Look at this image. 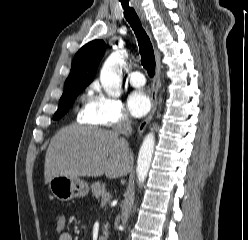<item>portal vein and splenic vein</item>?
<instances>
[{
  "label": "portal vein and splenic vein",
  "instance_id": "portal-vein-and-splenic-vein-1",
  "mask_svg": "<svg viewBox=\"0 0 248 240\" xmlns=\"http://www.w3.org/2000/svg\"><path fill=\"white\" fill-rule=\"evenodd\" d=\"M105 196H109V193H106ZM102 206H104V203H101Z\"/></svg>",
  "mask_w": 248,
  "mask_h": 240
}]
</instances>
